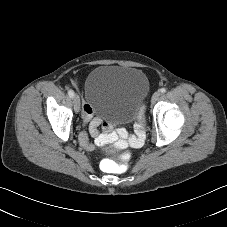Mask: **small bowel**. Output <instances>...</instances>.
Here are the masks:
<instances>
[{"mask_svg": "<svg viewBox=\"0 0 227 227\" xmlns=\"http://www.w3.org/2000/svg\"><path fill=\"white\" fill-rule=\"evenodd\" d=\"M101 120L94 116V110L88 103L83 105V126L84 130L79 134V143L87 151H93L96 145L106 142L112 143L119 149L139 148L145 140V131L137 128L135 135H129L126 129H113L109 124H104V133L99 134L98 128ZM94 139V140H92Z\"/></svg>", "mask_w": 227, "mask_h": 227, "instance_id": "c3829d8e", "label": "small bowel"}]
</instances>
